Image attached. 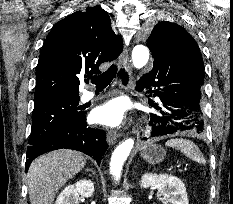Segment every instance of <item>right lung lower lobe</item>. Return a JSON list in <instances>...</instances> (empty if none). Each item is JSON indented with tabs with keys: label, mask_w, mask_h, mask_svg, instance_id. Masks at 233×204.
<instances>
[{
	"label": "right lung lower lobe",
	"mask_w": 233,
	"mask_h": 204,
	"mask_svg": "<svg viewBox=\"0 0 233 204\" xmlns=\"http://www.w3.org/2000/svg\"><path fill=\"white\" fill-rule=\"evenodd\" d=\"M105 137V131L87 127L85 112H82L71 122L27 148L25 170L27 172L30 163L39 155L63 148L81 151L94 158L99 165L108 146Z\"/></svg>",
	"instance_id": "1"
}]
</instances>
